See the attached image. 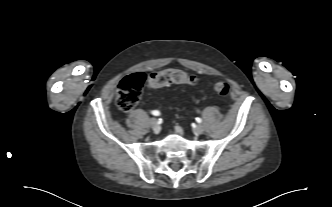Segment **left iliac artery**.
<instances>
[{
	"label": "left iliac artery",
	"instance_id": "44dca946",
	"mask_svg": "<svg viewBox=\"0 0 332 207\" xmlns=\"http://www.w3.org/2000/svg\"><path fill=\"white\" fill-rule=\"evenodd\" d=\"M196 121H197L198 123H201V122H202V119L199 118V117H197V118H196Z\"/></svg>",
	"mask_w": 332,
	"mask_h": 207
}]
</instances>
